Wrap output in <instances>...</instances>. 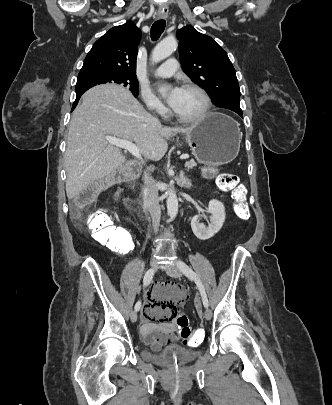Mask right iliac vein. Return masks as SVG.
Masks as SVG:
<instances>
[{
	"instance_id": "right-iliac-vein-1",
	"label": "right iliac vein",
	"mask_w": 332,
	"mask_h": 405,
	"mask_svg": "<svg viewBox=\"0 0 332 405\" xmlns=\"http://www.w3.org/2000/svg\"><path fill=\"white\" fill-rule=\"evenodd\" d=\"M151 270H153V271H155V269H156V264H152L151 265V268H150ZM130 319H131V321L132 322H136V320H137V312L136 311H132L131 312V314H130Z\"/></svg>"
}]
</instances>
